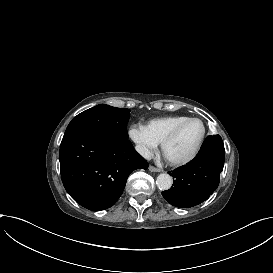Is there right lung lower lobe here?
<instances>
[{"instance_id": "right-lung-lower-lobe-1", "label": "right lung lower lobe", "mask_w": 273, "mask_h": 273, "mask_svg": "<svg viewBox=\"0 0 273 273\" xmlns=\"http://www.w3.org/2000/svg\"><path fill=\"white\" fill-rule=\"evenodd\" d=\"M59 160L66 191L91 211L110 208L123 193L130 173L149 166L128 139L92 133L63 137Z\"/></svg>"}]
</instances>
